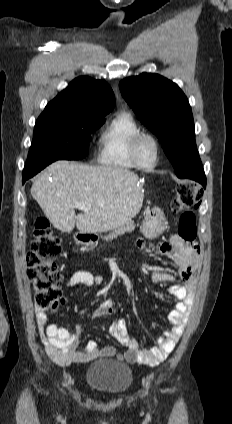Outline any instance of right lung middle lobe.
<instances>
[{"mask_svg":"<svg viewBox=\"0 0 232 424\" xmlns=\"http://www.w3.org/2000/svg\"><path fill=\"white\" fill-rule=\"evenodd\" d=\"M104 122L73 111H44L36 121L23 172L60 159L84 158L90 134Z\"/></svg>","mask_w":232,"mask_h":424,"instance_id":"right-lung-middle-lobe-1","label":"right lung middle lobe"}]
</instances>
